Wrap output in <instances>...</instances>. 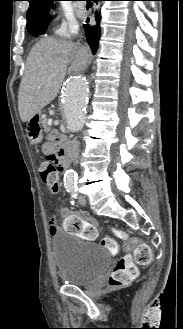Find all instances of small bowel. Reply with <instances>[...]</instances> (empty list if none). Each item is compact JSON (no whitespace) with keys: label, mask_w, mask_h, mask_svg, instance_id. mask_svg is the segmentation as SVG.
Instances as JSON below:
<instances>
[{"label":"small bowel","mask_w":183,"mask_h":329,"mask_svg":"<svg viewBox=\"0 0 183 329\" xmlns=\"http://www.w3.org/2000/svg\"><path fill=\"white\" fill-rule=\"evenodd\" d=\"M43 151L47 155L54 154V142L48 141L43 146ZM60 213L65 219L70 216L77 217L81 220H67L65 231L67 236H81V242H96V236H99V225L97 220L86 212L73 213L67 208H61ZM63 225L57 222L56 217L53 215L49 220V233L50 235L57 234Z\"/></svg>","instance_id":"1"}]
</instances>
